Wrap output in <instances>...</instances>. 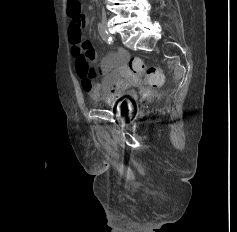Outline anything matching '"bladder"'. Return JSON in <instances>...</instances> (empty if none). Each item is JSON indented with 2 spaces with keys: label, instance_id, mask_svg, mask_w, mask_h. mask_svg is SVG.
I'll list each match as a JSON object with an SVG mask.
<instances>
[{
  "label": "bladder",
  "instance_id": "1",
  "mask_svg": "<svg viewBox=\"0 0 237 232\" xmlns=\"http://www.w3.org/2000/svg\"><path fill=\"white\" fill-rule=\"evenodd\" d=\"M113 108L121 115H126L134 110V99L132 97L124 98L117 101Z\"/></svg>",
  "mask_w": 237,
  "mask_h": 232
}]
</instances>
